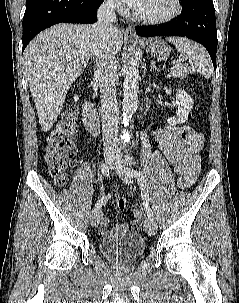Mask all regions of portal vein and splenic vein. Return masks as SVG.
Segmentation results:
<instances>
[{"label": "portal vein and splenic vein", "mask_w": 239, "mask_h": 303, "mask_svg": "<svg viewBox=\"0 0 239 303\" xmlns=\"http://www.w3.org/2000/svg\"><path fill=\"white\" fill-rule=\"evenodd\" d=\"M180 64H181L180 62H177V63L171 68V70L174 69V68H176V67L179 66Z\"/></svg>", "instance_id": "obj_1"}]
</instances>
